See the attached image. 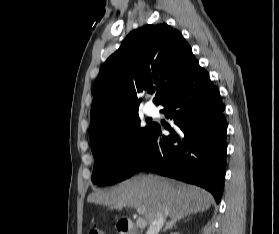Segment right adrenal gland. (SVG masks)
<instances>
[{
    "label": "right adrenal gland",
    "mask_w": 279,
    "mask_h": 234,
    "mask_svg": "<svg viewBox=\"0 0 279 234\" xmlns=\"http://www.w3.org/2000/svg\"><path fill=\"white\" fill-rule=\"evenodd\" d=\"M180 219H181L180 217L171 219L169 222L166 223L162 232H166L168 229H172L175 226V224L177 223V221H179Z\"/></svg>",
    "instance_id": "2a0ac1e0"
}]
</instances>
